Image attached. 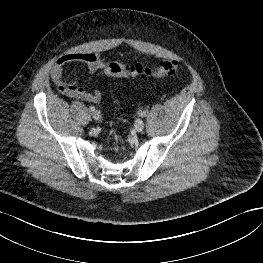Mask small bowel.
<instances>
[{"instance_id": "1", "label": "small bowel", "mask_w": 263, "mask_h": 263, "mask_svg": "<svg viewBox=\"0 0 263 263\" xmlns=\"http://www.w3.org/2000/svg\"><path fill=\"white\" fill-rule=\"evenodd\" d=\"M76 62L84 63L91 73L99 71L105 64L98 54L92 52H76L63 55L51 68L50 74L53 83L63 95L91 103H98L102 98L100 90L87 91L78 86L76 81H69L64 77V67Z\"/></svg>"}]
</instances>
